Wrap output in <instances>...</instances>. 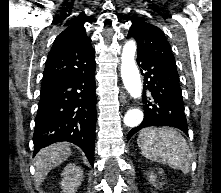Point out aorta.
I'll list each match as a JSON object with an SVG mask.
<instances>
[{
	"label": "aorta",
	"instance_id": "1",
	"mask_svg": "<svg viewBox=\"0 0 221 193\" xmlns=\"http://www.w3.org/2000/svg\"><path fill=\"white\" fill-rule=\"evenodd\" d=\"M136 43L129 40L125 43L121 55V76L124 86L133 98H140L142 84L140 74L135 63ZM143 120V112L140 109H131L124 116V123L128 127H136Z\"/></svg>",
	"mask_w": 221,
	"mask_h": 193
}]
</instances>
